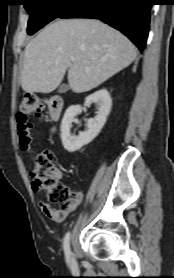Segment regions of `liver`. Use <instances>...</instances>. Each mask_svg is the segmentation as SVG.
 Segmentation results:
<instances>
[{
	"label": "liver",
	"mask_w": 174,
	"mask_h": 278,
	"mask_svg": "<svg viewBox=\"0 0 174 278\" xmlns=\"http://www.w3.org/2000/svg\"><path fill=\"white\" fill-rule=\"evenodd\" d=\"M136 55L126 36L99 20L59 19L27 44L19 82L24 92L50 93L68 71L70 89L83 93L128 67Z\"/></svg>",
	"instance_id": "obj_1"
}]
</instances>
